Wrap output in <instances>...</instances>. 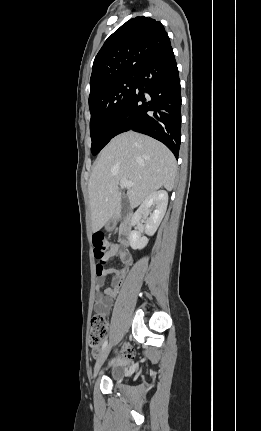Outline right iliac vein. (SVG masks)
<instances>
[{"mask_svg": "<svg viewBox=\"0 0 261 431\" xmlns=\"http://www.w3.org/2000/svg\"><path fill=\"white\" fill-rule=\"evenodd\" d=\"M111 350V345H108L103 352L101 353V355L99 356V358L96 361L95 367H94V374L93 377L95 378L102 366V364L104 363L105 359L107 358L109 352Z\"/></svg>", "mask_w": 261, "mask_h": 431, "instance_id": "right-iliac-vein-1", "label": "right iliac vein"}]
</instances>
